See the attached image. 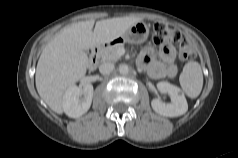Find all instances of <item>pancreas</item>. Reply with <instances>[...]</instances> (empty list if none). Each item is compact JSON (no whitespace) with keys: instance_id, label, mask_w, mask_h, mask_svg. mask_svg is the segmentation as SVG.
Wrapping results in <instances>:
<instances>
[{"instance_id":"pancreas-1","label":"pancreas","mask_w":238,"mask_h":158,"mask_svg":"<svg viewBox=\"0 0 238 158\" xmlns=\"http://www.w3.org/2000/svg\"><path fill=\"white\" fill-rule=\"evenodd\" d=\"M124 44H116L113 46L106 47L99 52V57L102 61H112L116 62L120 59V55L118 54V50L122 48Z\"/></svg>"}]
</instances>
